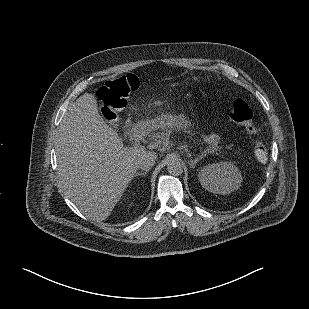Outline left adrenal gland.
Instances as JSON below:
<instances>
[{"label": "left adrenal gland", "instance_id": "left-adrenal-gland-1", "mask_svg": "<svg viewBox=\"0 0 309 309\" xmlns=\"http://www.w3.org/2000/svg\"><path fill=\"white\" fill-rule=\"evenodd\" d=\"M202 157H203V154L200 155L199 157H196L195 159H190L189 165H190L192 168H195L196 164L202 159Z\"/></svg>", "mask_w": 309, "mask_h": 309}]
</instances>
